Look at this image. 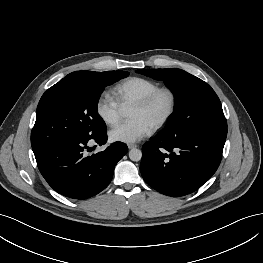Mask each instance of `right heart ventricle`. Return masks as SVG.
Segmentation results:
<instances>
[{
    "label": "right heart ventricle",
    "mask_w": 263,
    "mask_h": 263,
    "mask_svg": "<svg viewBox=\"0 0 263 263\" xmlns=\"http://www.w3.org/2000/svg\"><path fill=\"white\" fill-rule=\"evenodd\" d=\"M160 85L143 77H130L114 88V95L122 107L133 106L136 102L158 89Z\"/></svg>",
    "instance_id": "e07e8e85"
}]
</instances>
